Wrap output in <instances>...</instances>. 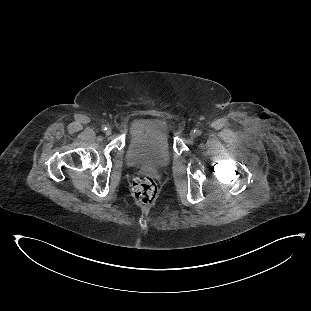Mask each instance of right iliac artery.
<instances>
[{
    "label": "right iliac artery",
    "instance_id": "82829eb1",
    "mask_svg": "<svg viewBox=\"0 0 311 311\" xmlns=\"http://www.w3.org/2000/svg\"><path fill=\"white\" fill-rule=\"evenodd\" d=\"M101 129H102V131H106L107 130V126L106 125H102Z\"/></svg>",
    "mask_w": 311,
    "mask_h": 311
}]
</instances>
